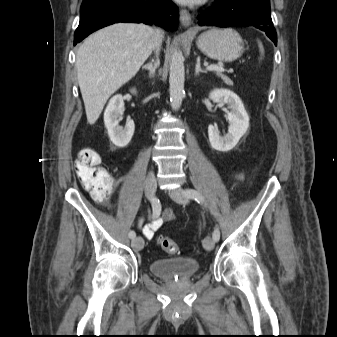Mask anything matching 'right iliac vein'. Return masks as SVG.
Here are the masks:
<instances>
[{
	"label": "right iliac vein",
	"mask_w": 337,
	"mask_h": 337,
	"mask_svg": "<svg viewBox=\"0 0 337 337\" xmlns=\"http://www.w3.org/2000/svg\"><path fill=\"white\" fill-rule=\"evenodd\" d=\"M157 188L156 178L153 172H149L145 180V193L148 199H152ZM131 246L135 251H139L144 246V240L141 237H136L132 240Z\"/></svg>",
	"instance_id": "obj_1"
}]
</instances>
